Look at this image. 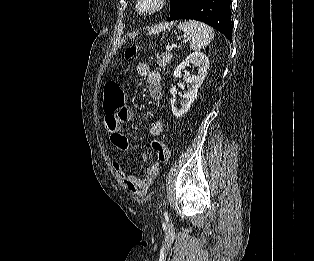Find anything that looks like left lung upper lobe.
Instances as JSON below:
<instances>
[{
  "instance_id": "obj_1",
  "label": "left lung upper lobe",
  "mask_w": 314,
  "mask_h": 261,
  "mask_svg": "<svg viewBox=\"0 0 314 261\" xmlns=\"http://www.w3.org/2000/svg\"><path fill=\"white\" fill-rule=\"evenodd\" d=\"M183 1L184 0H171V2H170V17L175 15V13L178 11V9L180 8Z\"/></svg>"
}]
</instances>
